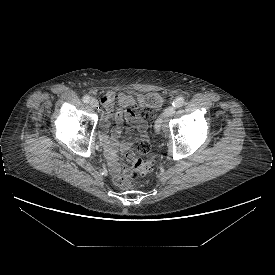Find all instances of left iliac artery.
Here are the masks:
<instances>
[{
    "mask_svg": "<svg viewBox=\"0 0 275 275\" xmlns=\"http://www.w3.org/2000/svg\"><path fill=\"white\" fill-rule=\"evenodd\" d=\"M185 104V99L182 97H178L175 99V101L172 103L174 108H180ZM155 128L157 131H159L162 126H161V118L157 119L156 124H155Z\"/></svg>",
    "mask_w": 275,
    "mask_h": 275,
    "instance_id": "1",
    "label": "left iliac artery"
}]
</instances>
